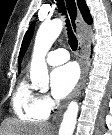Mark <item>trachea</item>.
Wrapping results in <instances>:
<instances>
[{"mask_svg":"<svg viewBox=\"0 0 112 135\" xmlns=\"http://www.w3.org/2000/svg\"><path fill=\"white\" fill-rule=\"evenodd\" d=\"M56 1H57V6H58L59 13L64 15L65 18H66L65 22H66V27H67L69 45H70L71 49L73 51H75L77 49V47H78V41H77V38L74 35L73 31H72L70 21H69V19L67 17L65 3H64L63 0H56ZM70 7H73L74 9H76L74 1L70 2ZM74 29H75V27H74Z\"/></svg>","mask_w":112,"mask_h":135,"instance_id":"3493384b","label":"trachea"}]
</instances>
